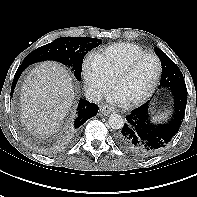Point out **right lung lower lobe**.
Here are the masks:
<instances>
[{
    "label": "right lung lower lobe",
    "instance_id": "obj_1",
    "mask_svg": "<svg viewBox=\"0 0 197 197\" xmlns=\"http://www.w3.org/2000/svg\"><path fill=\"white\" fill-rule=\"evenodd\" d=\"M29 66L27 63H22L14 76L12 87H11V94L14 91L15 85L23 72V70ZM98 112V106L96 104L90 103L84 99H80L78 108H77V116L74 120L73 124L70 126L71 132H76L82 124H84L89 118L95 116Z\"/></svg>",
    "mask_w": 197,
    "mask_h": 197
}]
</instances>
